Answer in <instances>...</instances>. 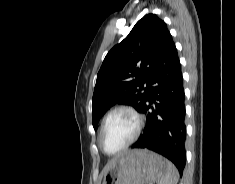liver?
Wrapping results in <instances>:
<instances>
[{"mask_svg":"<svg viewBox=\"0 0 235 184\" xmlns=\"http://www.w3.org/2000/svg\"><path fill=\"white\" fill-rule=\"evenodd\" d=\"M118 158H121V156H116V158H114V160H118ZM114 160H111V162H109V164H107V166H105L103 172H102V176H104V174H106L110 164H112V162H114Z\"/></svg>","mask_w":235,"mask_h":184,"instance_id":"obj_1","label":"liver"}]
</instances>
